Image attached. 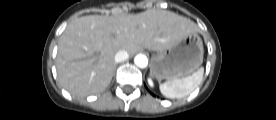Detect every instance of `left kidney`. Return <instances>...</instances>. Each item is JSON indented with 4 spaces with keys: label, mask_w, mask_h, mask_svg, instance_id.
I'll list each match as a JSON object with an SVG mask.
<instances>
[{
    "label": "left kidney",
    "mask_w": 276,
    "mask_h": 120,
    "mask_svg": "<svg viewBox=\"0 0 276 120\" xmlns=\"http://www.w3.org/2000/svg\"><path fill=\"white\" fill-rule=\"evenodd\" d=\"M148 83H149V85H150L151 87H153V86H154V83H153V81H152V79H151V78H148Z\"/></svg>",
    "instance_id": "left-kidney-1"
}]
</instances>
